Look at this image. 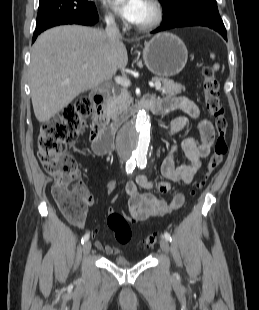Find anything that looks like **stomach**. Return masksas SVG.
Listing matches in <instances>:
<instances>
[{"label":"stomach","mask_w":259,"mask_h":310,"mask_svg":"<svg viewBox=\"0 0 259 310\" xmlns=\"http://www.w3.org/2000/svg\"><path fill=\"white\" fill-rule=\"evenodd\" d=\"M188 51L183 41L174 34L160 33L145 43L143 60L154 74L171 77L185 67Z\"/></svg>","instance_id":"0dacf381"}]
</instances>
